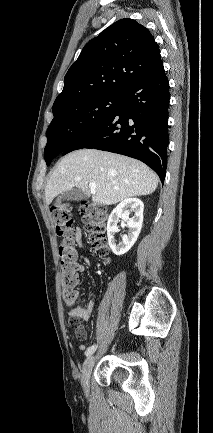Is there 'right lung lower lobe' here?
<instances>
[{
	"label": "right lung lower lobe",
	"instance_id": "98d812e1",
	"mask_svg": "<svg viewBox=\"0 0 213 433\" xmlns=\"http://www.w3.org/2000/svg\"><path fill=\"white\" fill-rule=\"evenodd\" d=\"M169 81L161 58L128 88L113 113L61 154L94 148L130 156L151 167L164 182L167 167Z\"/></svg>",
	"mask_w": 213,
	"mask_h": 433
}]
</instances>
